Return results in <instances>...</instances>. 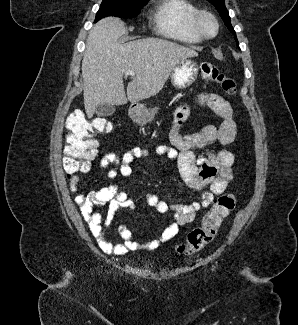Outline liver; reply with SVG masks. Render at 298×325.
Segmentation results:
<instances>
[{"mask_svg": "<svg viewBox=\"0 0 298 325\" xmlns=\"http://www.w3.org/2000/svg\"><path fill=\"white\" fill-rule=\"evenodd\" d=\"M127 28L117 16H106L89 30L83 52L82 78L85 112L92 118L98 104H126L155 96L182 58L198 56L189 46L163 38H139L120 44ZM124 70L135 76L125 90Z\"/></svg>", "mask_w": 298, "mask_h": 325, "instance_id": "liver-1", "label": "liver"}]
</instances>
